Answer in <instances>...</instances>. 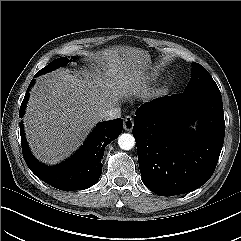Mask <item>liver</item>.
Instances as JSON below:
<instances>
[{"mask_svg":"<svg viewBox=\"0 0 241 241\" xmlns=\"http://www.w3.org/2000/svg\"><path fill=\"white\" fill-rule=\"evenodd\" d=\"M100 55L102 71L72 75L56 70L40 76L32 88L24 127L30 149L41 162L54 165L70 156L102 120L100 113L147 94V51L116 46Z\"/></svg>","mask_w":241,"mask_h":241,"instance_id":"6515ba94","label":"liver"}]
</instances>
